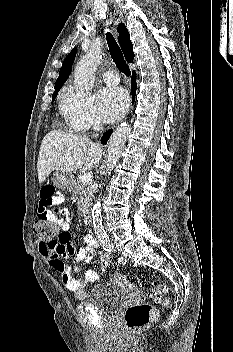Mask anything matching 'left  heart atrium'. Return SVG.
<instances>
[{
    "label": "left heart atrium",
    "instance_id": "obj_1",
    "mask_svg": "<svg viewBox=\"0 0 233 352\" xmlns=\"http://www.w3.org/2000/svg\"><path fill=\"white\" fill-rule=\"evenodd\" d=\"M97 106L105 121L114 122L125 113L128 96L122 88H104L97 95Z\"/></svg>",
    "mask_w": 233,
    "mask_h": 352
}]
</instances>
